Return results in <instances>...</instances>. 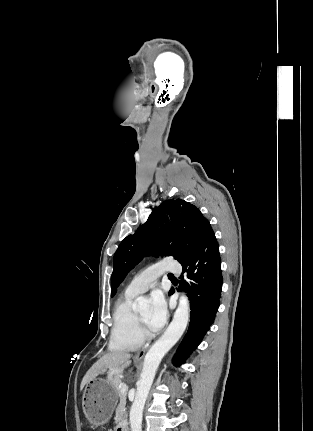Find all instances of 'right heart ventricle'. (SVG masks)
Segmentation results:
<instances>
[{
  "label": "right heart ventricle",
  "instance_id": "right-heart-ventricle-1",
  "mask_svg": "<svg viewBox=\"0 0 313 431\" xmlns=\"http://www.w3.org/2000/svg\"><path fill=\"white\" fill-rule=\"evenodd\" d=\"M134 297L125 293L115 304L110 339V348L114 351H133L143 342L132 307Z\"/></svg>",
  "mask_w": 313,
  "mask_h": 431
}]
</instances>
